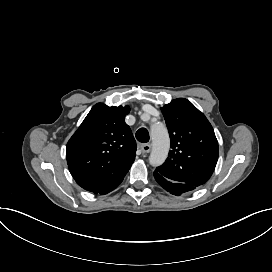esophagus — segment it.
<instances>
[{
  "mask_svg": "<svg viewBox=\"0 0 272 272\" xmlns=\"http://www.w3.org/2000/svg\"><path fill=\"white\" fill-rule=\"evenodd\" d=\"M141 150L143 153H149L151 151V145L150 144H143V145H141Z\"/></svg>",
  "mask_w": 272,
  "mask_h": 272,
  "instance_id": "34e87169",
  "label": "esophagus"
}]
</instances>
